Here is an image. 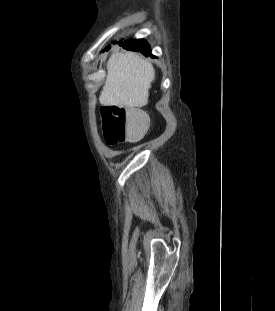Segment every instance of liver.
Masks as SVG:
<instances>
[{
  "instance_id": "1",
  "label": "liver",
  "mask_w": 275,
  "mask_h": 311,
  "mask_svg": "<svg viewBox=\"0 0 275 311\" xmlns=\"http://www.w3.org/2000/svg\"><path fill=\"white\" fill-rule=\"evenodd\" d=\"M155 79L153 65L133 52L114 53L107 62V77L100 94L105 106L140 108L148 103Z\"/></svg>"
}]
</instances>
